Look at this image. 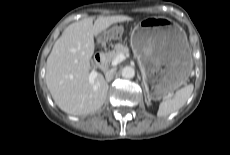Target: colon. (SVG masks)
Returning a JSON list of instances; mask_svg holds the SVG:
<instances>
[{
	"label": "colon",
	"mask_w": 230,
	"mask_h": 155,
	"mask_svg": "<svg viewBox=\"0 0 230 155\" xmlns=\"http://www.w3.org/2000/svg\"><path fill=\"white\" fill-rule=\"evenodd\" d=\"M125 34V27L121 23H116L108 29V33H101L99 35V44L101 46H108L111 42H118Z\"/></svg>",
	"instance_id": "5ec220e1"
}]
</instances>
